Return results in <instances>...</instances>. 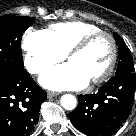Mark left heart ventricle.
<instances>
[{"label": "left heart ventricle", "instance_id": "left-heart-ventricle-1", "mask_svg": "<svg viewBox=\"0 0 136 136\" xmlns=\"http://www.w3.org/2000/svg\"><path fill=\"white\" fill-rule=\"evenodd\" d=\"M112 49L110 40L101 36L93 41L84 51L68 59L88 79L98 77L108 66L111 59Z\"/></svg>", "mask_w": 136, "mask_h": 136}]
</instances>
